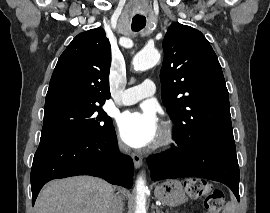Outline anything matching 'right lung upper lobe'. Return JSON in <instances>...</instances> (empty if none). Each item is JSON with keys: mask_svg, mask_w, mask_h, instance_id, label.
<instances>
[{"mask_svg": "<svg viewBox=\"0 0 270 213\" xmlns=\"http://www.w3.org/2000/svg\"><path fill=\"white\" fill-rule=\"evenodd\" d=\"M110 54L102 28L78 34L56 64L45 107L61 102L104 104L110 98Z\"/></svg>", "mask_w": 270, "mask_h": 213, "instance_id": "cb5924a9", "label": "right lung upper lobe"}]
</instances>
